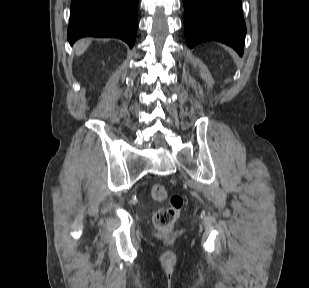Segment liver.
<instances>
[{"mask_svg": "<svg viewBox=\"0 0 309 288\" xmlns=\"http://www.w3.org/2000/svg\"><path fill=\"white\" fill-rule=\"evenodd\" d=\"M90 43H91V40L89 39H82L78 41L74 46L76 55L77 56L82 55L85 52V50L88 48Z\"/></svg>", "mask_w": 309, "mask_h": 288, "instance_id": "1", "label": "liver"}]
</instances>
